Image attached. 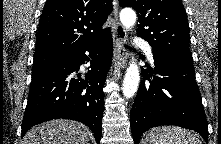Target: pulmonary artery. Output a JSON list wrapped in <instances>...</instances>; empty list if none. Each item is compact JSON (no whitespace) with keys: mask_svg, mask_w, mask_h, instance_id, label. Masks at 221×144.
<instances>
[{"mask_svg":"<svg viewBox=\"0 0 221 144\" xmlns=\"http://www.w3.org/2000/svg\"><path fill=\"white\" fill-rule=\"evenodd\" d=\"M134 43H135L138 47L142 48V49L145 51V53H146L148 59H149L151 62H154L153 53H152V47H151V45H150L147 41H145V40H143V39H141V38H135Z\"/></svg>","mask_w":221,"mask_h":144,"instance_id":"obj_1","label":"pulmonary artery"}]
</instances>
